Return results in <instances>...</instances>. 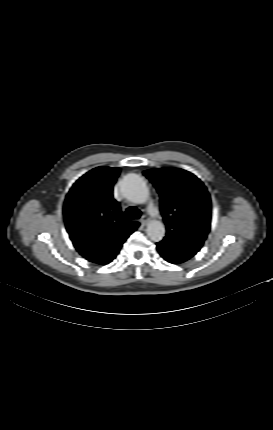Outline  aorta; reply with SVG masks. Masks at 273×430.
Returning a JSON list of instances; mask_svg holds the SVG:
<instances>
[{"mask_svg": "<svg viewBox=\"0 0 273 430\" xmlns=\"http://www.w3.org/2000/svg\"><path fill=\"white\" fill-rule=\"evenodd\" d=\"M122 192L133 203L144 204L149 199L145 181L136 174H128L123 178ZM146 232L153 242H159L165 236V227L162 222L153 220L148 224Z\"/></svg>", "mask_w": 273, "mask_h": 430, "instance_id": "762f6f07", "label": "aorta"}]
</instances>
